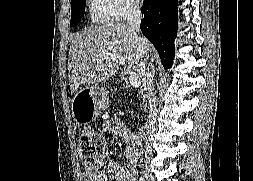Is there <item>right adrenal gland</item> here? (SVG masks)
Returning <instances> with one entry per match:
<instances>
[{"label": "right adrenal gland", "mask_w": 253, "mask_h": 181, "mask_svg": "<svg viewBox=\"0 0 253 181\" xmlns=\"http://www.w3.org/2000/svg\"><path fill=\"white\" fill-rule=\"evenodd\" d=\"M154 74H155V69H154V67H152V69H151V76H152V78L154 77Z\"/></svg>", "instance_id": "right-adrenal-gland-1"}]
</instances>
